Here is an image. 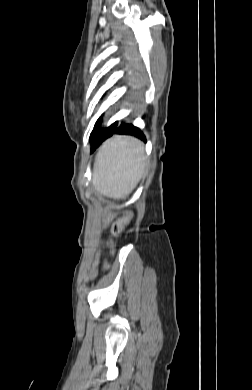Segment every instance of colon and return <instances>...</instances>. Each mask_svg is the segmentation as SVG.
Returning a JSON list of instances; mask_svg holds the SVG:
<instances>
[{
	"label": "colon",
	"instance_id": "5ec220e1",
	"mask_svg": "<svg viewBox=\"0 0 252 390\" xmlns=\"http://www.w3.org/2000/svg\"><path fill=\"white\" fill-rule=\"evenodd\" d=\"M131 212L125 211L122 218H120L118 221L114 222L111 227V235L113 237H119L121 234L122 229L124 228L125 224L129 221L131 218ZM115 216V212L111 211L107 214L105 218V224L109 225L113 222ZM111 243V241H110ZM105 268H107V264H105Z\"/></svg>",
	"mask_w": 252,
	"mask_h": 390
}]
</instances>
